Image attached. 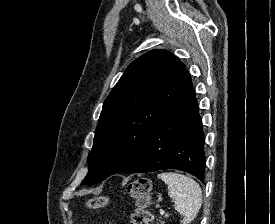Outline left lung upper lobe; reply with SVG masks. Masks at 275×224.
I'll return each mask as SVG.
<instances>
[{
  "mask_svg": "<svg viewBox=\"0 0 275 224\" xmlns=\"http://www.w3.org/2000/svg\"><path fill=\"white\" fill-rule=\"evenodd\" d=\"M191 86L184 64L166 50L133 61L103 104L82 184L127 172L156 125Z\"/></svg>",
  "mask_w": 275,
  "mask_h": 224,
  "instance_id": "left-lung-upper-lobe-1",
  "label": "left lung upper lobe"
}]
</instances>
